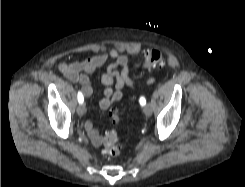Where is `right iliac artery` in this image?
<instances>
[{
	"mask_svg": "<svg viewBox=\"0 0 245 187\" xmlns=\"http://www.w3.org/2000/svg\"><path fill=\"white\" fill-rule=\"evenodd\" d=\"M77 99L80 104L84 102L83 94L80 91L78 92Z\"/></svg>",
	"mask_w": 245,
	"mask_h": 187,
	"instance_id": "82829eb1",
	"label": "right iliac artery"
}]
</instances>
